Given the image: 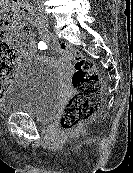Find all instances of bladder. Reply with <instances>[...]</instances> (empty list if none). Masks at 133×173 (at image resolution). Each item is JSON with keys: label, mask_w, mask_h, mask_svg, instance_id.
I'll list each match as a JSON object with an SVG mask.
<instances>
[{"label": "bladder", "mask_w": 133, "mask_h": 173, "mask_svg": "<svg viewBox=\"0 0 133 173\" xmlns=\"http://www.w3.org/2000/svg\"><path fill=\"white\" fill-rule=\"evenodd\" d=\"M64 91L59 72L40 60L23 63L0 98V112L26 113L41 122L55 114Z\"/></svg>", "instance_id": "obj_1"}]
</instances>
